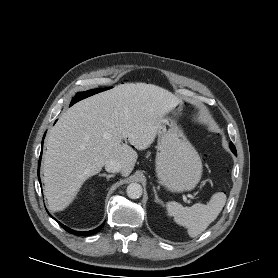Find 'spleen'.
Segmentation results:
<instances>
[{"label": "spleen", "instance_id": "obj_1", "mask_svg": "<svg viewBox=\"0 0 278 278\" xmlns=\"http://www.w3.org/2000/svg\"><path fill=\"white\" fill-rule=\"evenodd\" d=\"M226 203V195L222 192L212 196L207 205L195 204L183 207L178 202H168L167 211L177 224L187 228L190 237H196L217 218Z\"/></svg>", "mask_w": 278, "mask_h": 278}]
</instances>
